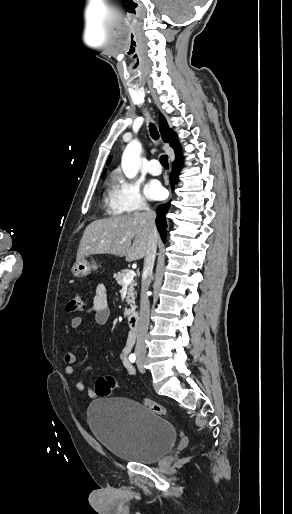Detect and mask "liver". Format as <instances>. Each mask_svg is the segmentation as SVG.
<instances>
[{
	"instance_id": "obj_1",
	"label": "liver",
	"mask_w": 292,
	"mask_h": 514,
	"mask_svg": "<svg viewBox=\"0 0 292 514\" xmlns=\"http://www.w3.org/2000/svg\"><path fill=\"white\" fill-rule=\"evenodd\" d=\"M147 212L95 220L87 226L77 252V260L91 254L126 256V262L141 260L148 246ZM131 246V240H133ZM159 240V238H158Z\"/></svg>"
}]
</instances>
